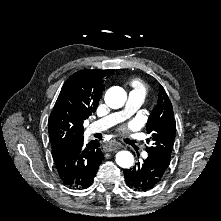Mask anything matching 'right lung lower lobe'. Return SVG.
<instances>
[{
  "mask_svg": "<svg viewBox=\"0 0 221 221\" xmlns=\"http://www.w3.org/2000/svg\"><path fill=\"white\" fill-rule=\"evenodd\" d=\"M97 140L84 145L83 138L53 157L62 182L75 189L88 188L102 162Z\"/></svg>",
  "mask_w": 221,
  "mask_h": 221,
  "instance_id": "98d812e1",
  "label": "right lung lower lobe"
}]
</instances>
